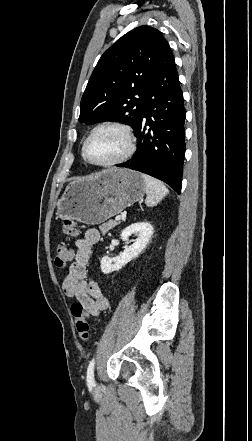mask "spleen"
Returning <instances> with one entry per match:
<instances>
[{
    "mask_svg": "<svg viewBox=\"0 0 252 441\" xmlns=\"http://www.w3.org/2000/svg\"><path fill=\"white\" fill-rule=\"evenodd\" d=\"M146 186V200L145 204L148 207L156 206L168 193L167 187L159 180L145 175H142Z\"/></svg>",
    "mask_w": 252,
    "mask_h": 441,
    "instance_id": "1",
    "label": "spleen"
}]
</instances>
